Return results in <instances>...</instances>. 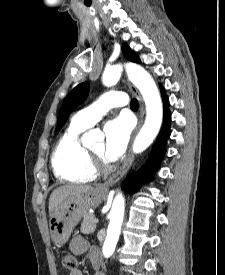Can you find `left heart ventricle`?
I'll return each mask as SVG.
<instances>
[{"label":"left heart ventricle","mask_w":225,"mask_h":275,"mask_svg":"<svg viewBox=\"0 0 225 275\" xmlns=\"http://www.w3.org/2000/svg\"><path fill=\"white\" fill-rule=\"evenodd\" d=\"M103 150H104V144L103 142H99L97 145H95L93 148H91V151L100 155L103 158Z\"/></svg>","instance_id":"left-heart-ventricle-1"}]
</instances>
